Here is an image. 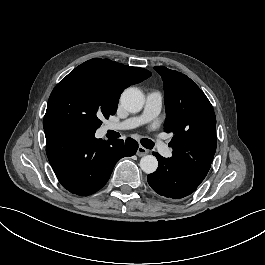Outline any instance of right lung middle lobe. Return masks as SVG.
Segmentation results:
<instances>
[{
  "label": "right lung middle lobe",
  "instance_id": "dd1d6c3e",
  "mask_svg": "<svg viewBox=\"0 0 265 265\" xmlns=\"http://www.w3.org/2000/svg\"><path fill=\"white\" fill-rule=\"evenodd\" d=\"M119 97L101 71L80 65L52 91L44 123L61 122L94 133L101 117L115 114Z\"/></svg>",
  "mask_w": 265,
  "mask_h": 265
}]
</instances>
